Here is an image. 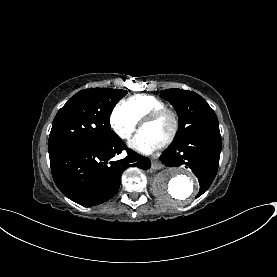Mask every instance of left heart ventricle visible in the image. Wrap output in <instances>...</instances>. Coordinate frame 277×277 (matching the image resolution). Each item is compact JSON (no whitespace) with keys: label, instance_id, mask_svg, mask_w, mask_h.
Masks as SVG:
<instances>
[{"label":"left heart ventricle","instance_id":"left-heart-ventricle-1","mask_svg":"<svg viewBox=\"0 0 277 277\" xmlns=\"http://www.w3.org/2000/svg\"><path fill=\"white\" fill-rule=\"evenodd\" d=\"M171 129L172 120L168 115L142 127L143 131L158 142L163 141L169 135Z\"/></svg>","mask_w":277,"mask_h":277}]
</instances>
